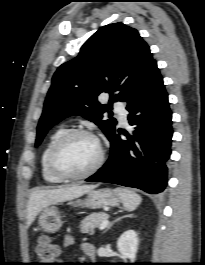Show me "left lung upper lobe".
<instances>
[{
	"instance_id": "obj_1",
	"label": "left lung upper lobe",
	"mask_w": 205,
	"mask_h": 265,
	"mask_svg": "<svg viewBox=\"0 0 205 265\" xmlns=\"http://www.w3.org/2000/svg\"><path fill=\"white\" fill-rule=\"evenodd\" d=\"M155 64L149 46L136 29L123 23L100 28L76 58L55 72L37 127L35 146H39L53 125L70 115L95 122L110 138L117 122L114 118L102 120V114L111 109L113 101L126 102ZM103 92L111 96L107 105L97 100Z\"/></svg>"
}]
</instances>
